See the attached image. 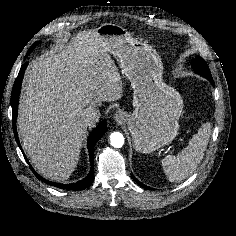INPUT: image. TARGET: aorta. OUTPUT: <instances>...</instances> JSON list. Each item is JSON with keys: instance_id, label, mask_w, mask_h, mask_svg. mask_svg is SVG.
I'll use <instances>...</instances> for the list:
<instances>
[{"instance_id": "1", "label": "aorta", "mask_w": 236, "mask_h": 236, "mask_svg": "<svg viewBox=\"0 0 236 236\" xmlns=\"http://www.w3.org/2000/svg\"><path fill=\"white\" fill-rule=\"evenodd\" d=\"M110 144L115 148H121L124 144V137L120 132L110 134Z\"/></svg>"}]
</instances>
